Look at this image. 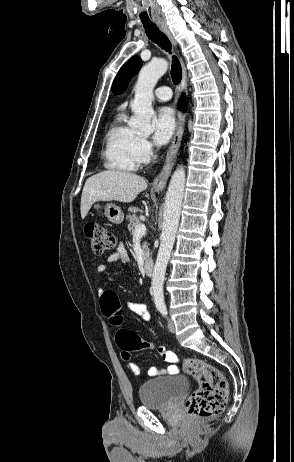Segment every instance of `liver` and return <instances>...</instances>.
Returning <instances> with one entry per match:
<instances>
[{
    "mask_svg": "<svg viewBox=\"0 0 294 462\" xmlns=\"http://www.w3.org/2000/svg\"><path fill=\"white\" fill-rule=\"evenodd\" d=\"M147 188L146 180L131 172L103 171L89 177L81 196V217L84 219L91 206L98 201L130 203Z\"/></svg>",
    "mask_w": 294,
    "mask_h": 462,
    "instance_id": "obj_1",
    "label": "liver"
}]
</instances>
